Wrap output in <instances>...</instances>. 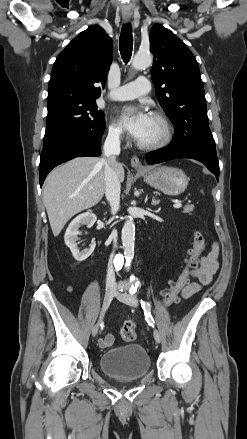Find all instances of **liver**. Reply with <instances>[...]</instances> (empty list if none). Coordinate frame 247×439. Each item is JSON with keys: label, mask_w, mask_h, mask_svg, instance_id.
Masks as SVG:
<instances>
[{"label": "liver", "mask_w": 247, "mask_h": 439, "mask_svg": "<svg viewBox=\"0 0 247 439\" xmlns=\"http://www.w3.org/2000/svg\"><path fill=\"white\" fill-rule=\"evenodd\" d=\"M107 157H78L54 169L46 178L43 202L56 237L75 214L95 206L105 193ZM120 182L124 168L118 163Z\"/></svg>", "instance_id": "6515ba94"}]
</instances>
